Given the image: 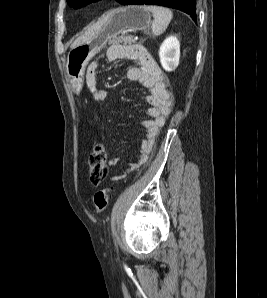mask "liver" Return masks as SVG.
<instances>
[{"label": "liver", "mask_w": 267, "mask_h": 298, "mask_svg": "<svg viewBox=\"0 0 267 298\" xmlns=\"http://www.w3.org/2000/svg\"><path fill=\"white\" fill-rule=\"evenodd\" d=\"M108 18L107 16L103 17L102 19L98 20L95 24H93L91 27L85 31L83 35L78 37L73 44L71 45V48H74L78 45H81L82 43H85L89 41L92 37H94L104 26V24L107 22Z\"/></svg>", "instance_id": "6515ba94"}]
</instances>
